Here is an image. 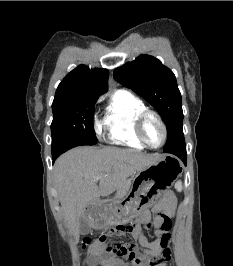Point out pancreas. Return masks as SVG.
I'll list each match as a JSON object with an SVG mask.
<instances>
[{"label": "pancreas", "mask_w": 233, "mask_h": 266, "mask_svg": "<svg viewBox=\"0 0 233 266\" xmlns=\"http://www.w3.org/2000/svg\"><path fill=\"white\" fill-rule=\"evenodd\" d=\"M131 183L130 182H126L122 187L119 188L118 192H117V197L121 198L124 197L127 193V191L130 188Z\"/></svg>", "instance_id": "1"}]
</instances>
